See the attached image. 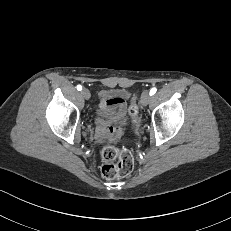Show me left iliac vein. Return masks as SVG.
Returning <instances> with one entry per match:
<instances>
[{
  "label": "left iliac vein",
  "mask_w": 231,
  "mask_h": 231,
  "mask_svg": "<svg viewBox=\"0 0 231 231\" xmlns=\"http://www.w3.org/2000/svg\"><path fill=\"white\" fill-rule=\"evenodd\" d=\"M149 101H150V94L148 92H144L141 96V104L143 106H146L148 105Z\"/></svg>",
  "instance_id": "1"
}]
</instances>
